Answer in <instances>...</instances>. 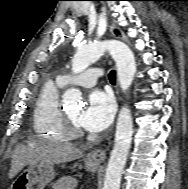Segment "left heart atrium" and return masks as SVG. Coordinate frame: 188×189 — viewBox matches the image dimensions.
<instances>
[{
  "label": "left heart atrium",
  "instance_id": "1",
  "mask_svg": "<svg viewBox=\"0 0 188 189\" xmlns=\"http://www.w3.org/2000/svg\"><path fill=\"white\" fill-rule=\"evenodd\" d=\"M113 99L101 90L92 91L85 108L80 112L78 125L91 132L106 129L113 119Z\"/></svg>",
  "mask_w": 188,
  "mask_h": 189
}]
</instances>
